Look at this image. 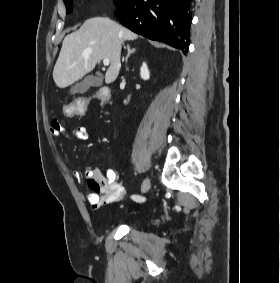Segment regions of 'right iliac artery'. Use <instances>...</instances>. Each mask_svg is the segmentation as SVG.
I'll list each match as a JSON object with an SVG mask.
<instances>
[{"mask_svg": "<svg viewBox=\"0 0 280 283\" xmlns=\"http://www.w3.org/2000/svg\"><path fill=\"white\" fill-rule=\"evenodd\" d=\"M132 199L136 202H144L145 201V198L141 197L139 195H132Z\"/></svg>", "mask_w": 280, "mask_h": 283, "instance_id": "obj_1", "label": "right iliac artery"}]
</instances>
